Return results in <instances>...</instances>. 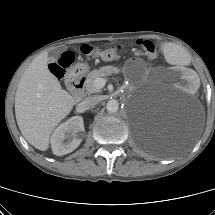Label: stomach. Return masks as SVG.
<instances>
[{"label":"stomach","mask_w":215,"mask_h":215,"mask_svg":"<svg viewBox=\"0 0 215 215\" xmlns=\"http://www.w3.org/2000/svg\"><path fill=\"white\" fill-rule=\"evenodd\" d=\"M75 68L78 69L80 72L84 73L88 71L89 66L87 63H78Z\"/></svg>","instance_id":"obj_1"}]
</instances>
